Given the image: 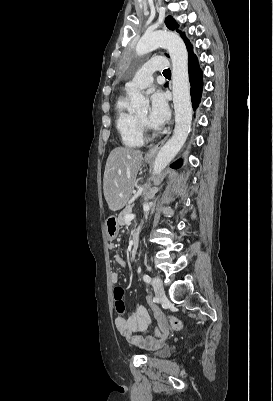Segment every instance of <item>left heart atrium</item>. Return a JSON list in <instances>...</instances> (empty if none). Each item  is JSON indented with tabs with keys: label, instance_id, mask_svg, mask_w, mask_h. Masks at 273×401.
I'll return each instance as SVG.
<instances>
[{
	"label": "left heart atrium",
	"instance_id": "39dd6f15",
	"mask_svg": "<svg viewBox=\"0 0 273 401\" xmlns=\"http://www.w3.org/2000/svg\"><path fill=\"white\" fill-rule=\"evenodd\" d=\"M169 118V108L161 94L151 97L150 108L147 116L148 123L154 128L163 126Z\"/></svg>",
	"mask_w": 273,
	"mask_h": 401
}]
</instances>
